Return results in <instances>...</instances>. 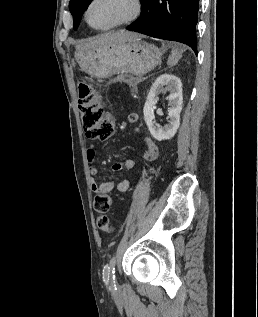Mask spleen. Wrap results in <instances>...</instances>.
I'll list each match as a JSON object with an SVG mask.
<instances>
[{"label": "spleen", "mask_w": 258, "mask_h": 317, "mask_svg": "<svg viewBox=\"0 0 258 317\" xmlns=\"http://www.w3.org/2000/svg\"><path fill=\"white\" fill-rule=\"evenodd\" d=\"M185 48H176V46H173L171 50V54L167 60V64H170V66H174V64H177L179 58L182 56V52H184Z\"/></svg>", "instance_id": "obj_1"}]
</instances>
